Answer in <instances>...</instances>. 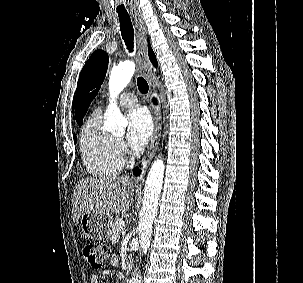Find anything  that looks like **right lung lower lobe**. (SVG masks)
I'll list each match as a JSON object with an SVG mask.
<instances>
[{"label":"right lung lower lobe","instance_id":"1","mask_svg":"<svg viewBox=\"0 0 303 283\" xmlns=\"http://www.w3.org/2000/svg\"><path fill=\"white\" fill-rule=\"evenodd\" d=\"M134 174H135L136 176H138V175L140 174V171H139V168H138V167H136V168L134 169Z\"/></svg>","mask_w":303,"mask_h":283}]
</instances>
